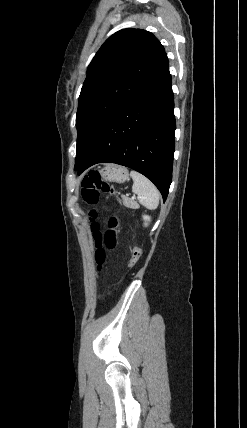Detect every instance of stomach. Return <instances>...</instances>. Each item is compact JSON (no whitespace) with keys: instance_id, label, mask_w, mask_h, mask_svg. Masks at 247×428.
I'll use <instances>...</instances> for the list:
<instances>
[{"instance_id":"stomach-1","label":"stomach","mask_w":247,"mask_h":428,"mask_svg":"<svg viewBox=\"0 0 247 428\" xmlns=\"http://www.w3.org/2000/svg\"><path fill=\"white\" fill-rule=\"evenodd\" d=\"M100 173L101 177L108 182L124 183L129 178L127 168L117 164L105 166Z\"/></svg>"}]
</instances>
